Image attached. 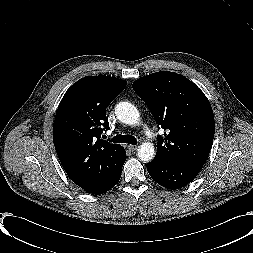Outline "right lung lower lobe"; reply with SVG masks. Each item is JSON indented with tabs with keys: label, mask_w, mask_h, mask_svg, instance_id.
I'll list each match as a JSON object with an SVG mask.
<instances>
[{
	"label": "right lung lower lobe",
	"mask_w": 253,
	"mask_h": 253,
	"mask_svg": "<svg viewBox=\"0 0 253 253\" xmlns=\"http://www.w3.org/2000/svg\"><path fill=\"white\" fill-rule=\"evenodd\" d=\"M125 160H126V156H125ZM122 166H121V168H122ZM121 168L110 178V180L102 188H100L98 191H96L93 194H102V193H105L108 190H110L112 187H114L118 183V181L120 180Z\"/></svg>",
	"instance_id": "1"
}]
</instances>
